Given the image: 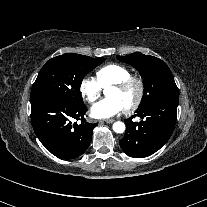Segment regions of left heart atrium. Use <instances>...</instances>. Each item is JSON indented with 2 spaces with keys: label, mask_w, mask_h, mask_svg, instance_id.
<instances>
[{
  "label": "left heart atrium",
  "mask_w": 207,
  "mask_h": 207,
  "mask_svg": "<svg viewBox=\"0 0 207 207\" xmlns=\"http://www.w3.org/2000/svg\"><path fill=\"white\" fill-rule=\"evenodd\" d=\"M125 110L126 106L120 99L107 98L94 103L90 108V114L97 119H109Z\"/></svg>",
  "instance_id": "left-heart-atrium-1"
}]
</instances>
